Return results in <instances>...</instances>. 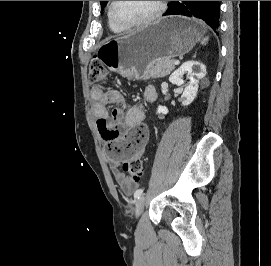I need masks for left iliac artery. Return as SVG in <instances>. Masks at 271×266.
<instances>
[{
	"instance_id": "left-iliac-artery-1",
	"label": "left iliac artery",
	"mask_w": 271,
	"mask_h": 266,
	"mask_svg": "<svg viewBox=\"0 0 271 266\" xmlns=\"http://www.w3.org/2000/svg\"><path fill=\"white\" fill-rule=\"evenodd\" d=\"M144 189H138L135 193H134V197L135 198H139L142 194H143Z\"/></svg>"
}]
</instances>
